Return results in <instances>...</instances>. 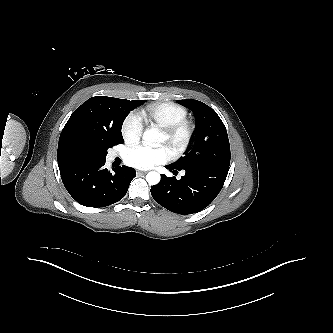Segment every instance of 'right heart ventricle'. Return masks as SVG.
Instances as JSON below:
<instances>
[{
  "instance_id": "obj_1",
  "label": "right heart ventricle",
  "mask_w": 333,
  "mask_h": 333,
  "mask_svg": "<svg viewBox=\"0 0 333 333\" xmlns=\"http://www.w3.org/2000/svg\"><path fill=\"white\" fill-rule=\"evenodd\" d=\"M187 109L173 101L153 102L139 112V117L145 124H154L161 128L170 126L187 117Z\"/></svg>"
}]
</instances>
